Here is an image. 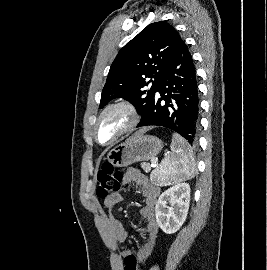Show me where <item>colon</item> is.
<instances>
[{"mask_svg": "<svg viewBox=\"0 0 267 270\" xmlns=\"http://www.w3.org/2000/svg\"><path fill=\"white\" fill-rule=\"evenodd\" d=\"M122 174L106 162L98 171V186L96 193L100 198H107L115 194L121 186ZM124 270H139L137 256L129 253L124 258Z\"/></svg>", "mask_w": 267, "mask_h": 270, "instance_id": "1", "label": "colon"}]
</instances>
